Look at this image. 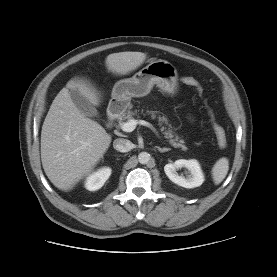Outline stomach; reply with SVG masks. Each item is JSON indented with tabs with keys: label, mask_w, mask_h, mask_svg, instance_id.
<instances>
[{
	"label": "stomach",
	"mask_w": 277,
	"mask_h": 277,
	"mask_svg": "<svg viewBox=\"0 0 277 277\" xmlns=\"http://www.w3.org/2000/svg\"><path fill=\"white\" fill-rule=\"evenodd\" d=\"M177 81V70L170 62L162 59L151 61L131 78L115 83L108 107L122 113L130 106L132 97L146 96L154 85L163 93L174 95L178 89Z\"/></svg>",
	"instance_id": "stomach-1"
}]
</instances>
